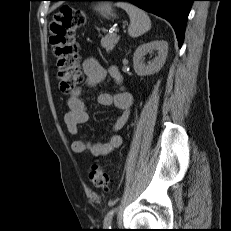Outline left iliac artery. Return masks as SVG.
<instances>
[{"label": "left iliac artery", "instance_id": "obj_1", "mask_svg": "<svg viewBox=\"0 0 231 231\" xmlns=\"http://www.w3.org/2000/svg\"><path fill=\"white\" fill-rule=\"evenodd\" d=\"M117 211V208L111 209L104 218V227L111 228V221L114 216V213Z\"/></svg>", "mask_w": 231, "mask_h": 231}]
</instances>
